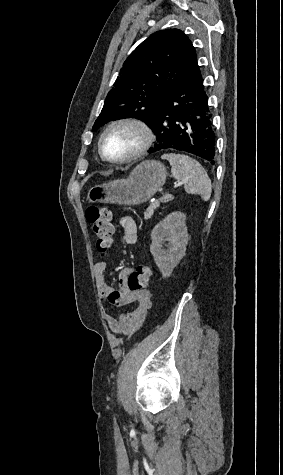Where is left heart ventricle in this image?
Segmentation results:
<instances>
[{"mask_svg": "<svg viewBox=\"0 0 283 475\" xmlns=\"http://www.w3.org/2000/svg\"><path fill=\"white\" fill-rule=\"evenodd\" d=\"M142 140L141 131L133 126H120L112 130L103 140L104 153L118 158L131 153Z\"/></svg>", "mask_w": 283, "mask_h": 475, "instance_id": "1", "label": "left heart ventricle"}]
</instances>
